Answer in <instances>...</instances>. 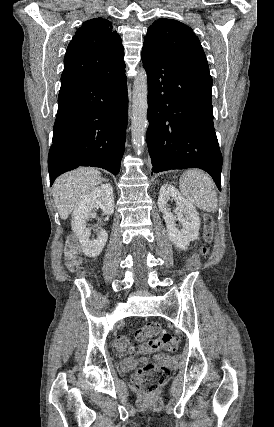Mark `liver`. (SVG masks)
Returning a JSON list of instances; mask_svg holds the SVG:
<instances>
[{"label":"liver","instance_id":"1","mask_svg":"<svg viewBox=\"0 0 274 427\" xmlns=\"http://www.w3.org/2000/svg\"><path fill=\"white\" fill-rule=\"evenodd\" d=\"M101 182V174L94 168H77L57 178L53 184V198L61 219H67L84 196Z\"/></svg>","mask_w":274,"mask_h":427}]
</instances>
